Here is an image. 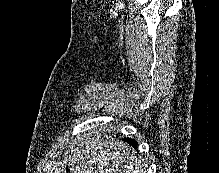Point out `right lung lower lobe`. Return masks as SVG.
Listing matches in <instances>:
<instances>
[{
	"label": "right lung lower lobe",
	"instance_id": "obj_1",
	"mask_svg": "<svg viewBox=\"0 0 219 173\" xmlns=\"http://www.w3.org/2000/svg\"><path fill=\"white\" fill-rule=\"evenodd\" d=\"M127 142H129L131 145H133L134 147H137V142L134 139H127Z\"/></svg>",
	"mask_w": 219,
	"mask_h": 173
}]
</instances>
